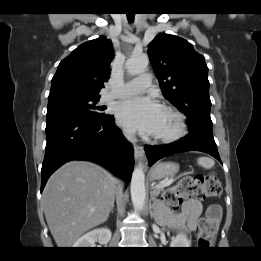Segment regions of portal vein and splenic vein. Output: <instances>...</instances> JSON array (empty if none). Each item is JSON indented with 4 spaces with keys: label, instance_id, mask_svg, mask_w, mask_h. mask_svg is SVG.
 I'll return each mask as SVG.
<instances>
[{
    "label": "portal vein and splenic vein",
    "instance_id": "18ae733b",
    "mask_svg": "<svg viewBox=\"0 0 261 261\" xmlns=\"http://www.w3.org/2000/svg\"><path fill=\"white\" fill-rule=\"evenodd\" d=\"M173 181H174L173 178H171V179H169V180H166V181H162V182H160L158 185H156L155 188H160V187L168 186V185L172 184Z\"/></svg>",
    "mask_w": 261,
    "mask_h": 261
}]
</instances>
